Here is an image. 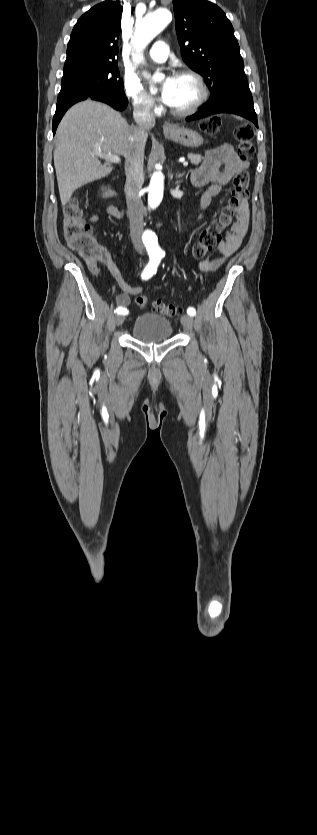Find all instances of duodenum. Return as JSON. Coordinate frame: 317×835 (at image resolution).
Here are the masks:
<instances>
[{
    "label": "duodenum",
    "mask_w": 317,
    "mask_h": 835,
    "mask_svg": "<svg viewBox=\"0 0 317 835\" xmlns=\"http://www.w3.org/2000/svg\"><path fill=\"white\" fill-rule=\"evenodd\" d=\"M105 190H106L107 197L115 195V192L110 187H106Z\"/></svg>",
    "instance_id": "410a0bca"
}]
</instances>
